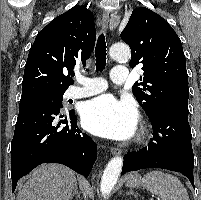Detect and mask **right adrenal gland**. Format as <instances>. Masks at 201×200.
<instances>
[{"label": "right adrenal gland", "instance_id": "obj_1", "mask_svg": "<svg viewBox=\"0 0 201 200\" xmlns=\"http://www.w3.org/2000/svg\"><path fill=\"white\" fill-rule=\"evenodd\" d=\"M74 195H78V187H77V184H76L75 187H74V191H73V193H72V195H71V197H70V200L73 199Z\"/></svg>", "mask_w": 201, "mask_h": 200}]
</instances>
